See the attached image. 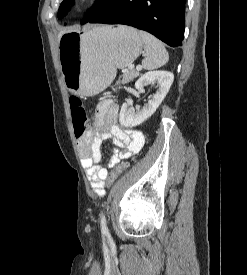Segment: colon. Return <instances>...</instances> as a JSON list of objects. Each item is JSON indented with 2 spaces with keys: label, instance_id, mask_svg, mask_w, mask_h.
I'll list each match as a JSON object with an SVG mask.
<instances>
[{
  "label": "colon",
  "instance_id": "5ec220e1",
  "mask_svg": "<svg viewBox=\"0 0 247 275\" xmlns=\"http://www.w3.org/2000/svg\"><path fill=\"white\" fill-rule=\"evenodd\" d=\"M70 110L72 116V124L74 134L77 138H80L87 129L88 118L82 101L78 97H71ZM129 162L120 163L107 177L106 185H112L118 176L128 167Z\"/></svg>",
  "mask_w": 247,
  "mask_h": 275
}]
</instances>
